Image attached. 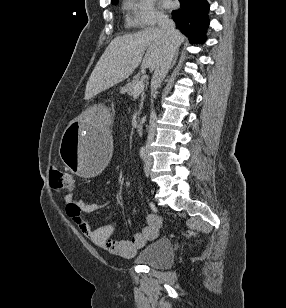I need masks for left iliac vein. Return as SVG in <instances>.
I'll return each instance as SVG.
<instances>
[{
  "mask_svg": "<svg viewBox=\"0 0 286 308\" xmlns=\"http://www.w3.org/2000/svg\"><path fill=\"white\" fill-rule=\"evenodd\" d=\"M150 167H151V158L149 156V151L147 150V160H146L145 167H144L146 176H149L150 174Z\"/></svg>",
  "mask_w": 286,
  "mask_h": 308,
  "instance_id": "1",
  "label": "left iliac vein"
}]
</instances>
